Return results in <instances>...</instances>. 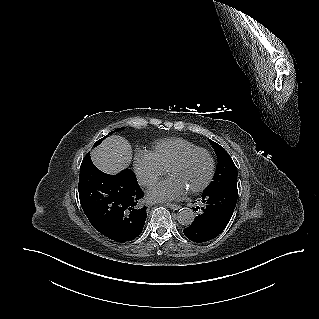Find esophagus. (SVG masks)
<instances>
[{"label": "esophagus", "mask_w": 319, "mask_h": 319, "mask_svg": "<svg viewBox=\"0 0 319 319\" xmlns=\"http://www.w3.org/2000/svg\"><path fill=\"white\" fill-rule=\"evenodd\" d=\"M166 206L169 207V208L172 209V210H178V209H180V207H181L180 205L171 204V203H167Z\"/></svg>", "instance_id": "esophagus-1"}]
</instances>
